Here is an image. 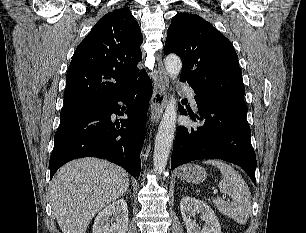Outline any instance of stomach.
<instances>
[{
    "instance_id": "stomach-1",
    "label": "stomach",
    "mask_w": 306,
    "mask_h": 233,
    "mask_svg": "<svg viewBox=\"0 0 306 233\" xmlns=\"http://www.w3.org/2000/svg\"><path fill=\"white\" fill-rule=\"evenodd\" d=\"M178 177L189 183L199 184L206 180L207 174L204 168L197 164H186L178 171Z\"/></svg>"
}]
</instances>
